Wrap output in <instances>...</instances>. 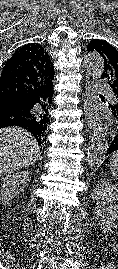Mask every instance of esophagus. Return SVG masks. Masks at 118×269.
Wrapping results in <instances>:
<instances>
[{
	"mask_svg": "<svg viewBox=\"0 0 118 269\" xmlns=\"http://www.w3.org/2000/svg\"><path fill=\"white\" fill-rule=\"evenodd\" d=\"M93 95L94 89L93 86L88 82L86 85V91L84 94V111H85V119L89 130H92L95 126V116L92 109L93 104Z\"/></svg>",
	"mask_w": 118,
	"mask_h": 269,
	"instance_id": "1",
	"label": "esophagus"
}]
</instances>
